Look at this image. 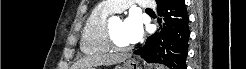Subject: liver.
Listing matches in <instances>:
<instances>
[{
  "instance_id": "liver-1",
  "label": "liver",
  "mask_w": 246,
  "mask_h": 69,
  "mask_svg": "<svg viewBox=\"0 0 246 69\" xmlns=\"http://www.w3.org/2000/svg\"><path fill=\"white\" fill-rule=\"evenodd\" d=\"M129 56L124 54H103V55H91L80 59L73 69H91L93 66L101 65H113L121 63Z\"/></svg>"
}]
</instances>
